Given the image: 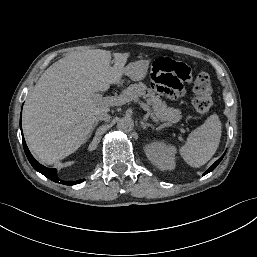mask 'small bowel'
<instances>
[{"label": "small bowel", "instance_id": "1", "mask_svg": "<svg viewBox=\"0 0 257 257\" xmlns=\"http://www.w3.org/2000/svg\"><path fill=\"white\" fill-rule=\"evenodd\" d=\"M193 82L190 66L180 59L168 56L155 58L150 65V74L146 83L170 100L183 96L186 87Z\"/></svg>", "mask_w": 257, "mask_h": 257}]
</instances>
